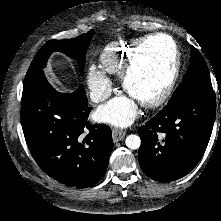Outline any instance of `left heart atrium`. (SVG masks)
<instances>
[{"label": "left heart atrium", "instance_id": "1", "mask_svg": "<svg viewBox=\"0 0 221 221\" xmlns=\"http://www.w3.org/2000/svg\"><path fill=\"white\" fill-rule=\"evenodd\" d=\"M138 109L133 100L122 97L112 101L100 111L102 118L120 126L129 125L137 116Z\"/></svg>", "mask_w": 221, "mask_h": 221}]
</instances>
